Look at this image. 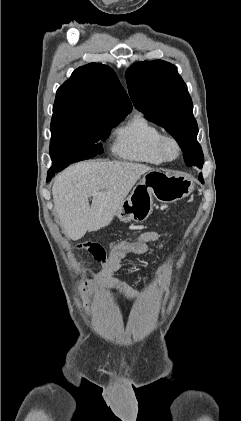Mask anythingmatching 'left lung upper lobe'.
I'll return each instance as SVG.
<instances>
[{
    "label": "left lung upper lobe",
    "instance_id": "obj_1",
    "mask_svg": "<svg viewBox=\"0 0 241 421\" xmlns=\"http://www.w3.org/2000/svg\"><path fill=\"white\" fill-rule=\"evenodd\" d=\"M126 79L135 107L175 138L185 163L201 169L203 152L196 140L192 100L176 66L161 60L137 63L127 70Z\"/></svg>",
    "mask_w": 241,
    "mask_h": 421
}]
</instances>
